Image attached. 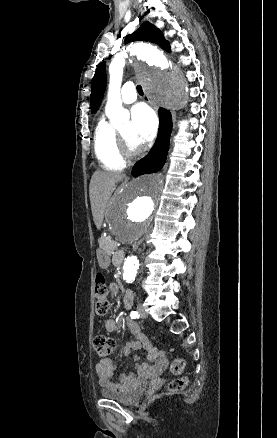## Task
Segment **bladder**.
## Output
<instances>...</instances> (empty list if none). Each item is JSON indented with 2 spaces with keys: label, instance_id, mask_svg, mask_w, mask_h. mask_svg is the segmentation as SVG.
Returning <instances> with one entry per match:
<instances>
[{
  "label": "bladder",
  "instance_id": "31cf9c89",
  "mask_svg": "<svg viewBox=\"0 0 277 438\" xmlns=\"http://www.w3.org/2000/svg\"><path fill=\"white\" fill-rule=\"evenodd\" d=\"M99 395L111 399L118 404L134 406L142 398L143 390L138 387H131L124 391L100 388Z\"/></svg>",
  "mask_w": 277,
  "mask_h": 438
}]
</instances>
